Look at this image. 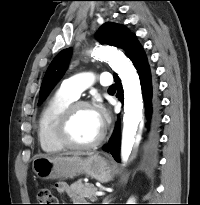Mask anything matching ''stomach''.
I'll return each instance as SVG.
<instances>
[{
    "mask_svg": "<svg viewBox=\"0 0 200 205\" xmlns=\"http://www.w3.org/2000/svg\"><path fill=\"white\" fill-rule=\"evenodd\" d=\"M36 175L42 180L73 178L86 174L100 182H108L115 174V167L106 158L93 154L86 158L80 156H39L32 164Z\"/></svg>",
    "mask_w": 200,
    "mask_h": 205,
    "instance_id": "obj_1",
    "label": "stomach"
}]
</instances>
